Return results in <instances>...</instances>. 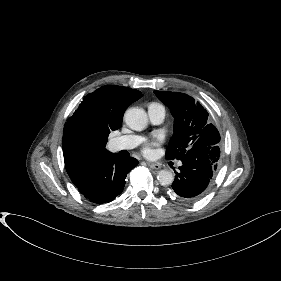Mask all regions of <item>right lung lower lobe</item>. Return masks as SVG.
<instances>
[{
	"instance_id": "1",
	"label": "right lung lower lobe",
	"mask_w": 281,
	"mask_h": 281,
	"mask_svg": "<svg viewBox=\"0 0 281 281\" xmlns=\"http://www.w3.org/2000/svg\"><path fill=\"white\" fill-rule=\"evenodd\" d=\"M137 164L135 158L107 152L89 162L71 180L90 202L103 204L121 194L127 174Z\"/></svg>"
}]
</instances>
